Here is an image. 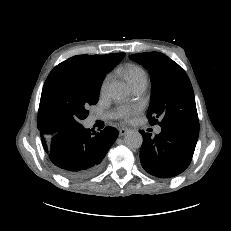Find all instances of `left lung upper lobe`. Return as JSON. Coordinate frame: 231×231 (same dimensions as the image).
<instances>
[{"label":"left lung upper lobe","instance_id":"obj_1","mask_svg":"<svg viewBox=\"0 0 231 231\" xmlns=\"http://www.w3.org/2000/svg\"><path fill=\"white\" fill-rule=\"evenodd\" d=\"M130 59L142 64L151 75L149 123L199 129L194 92L186 72L159 52L134 54Z\"/></svg>","mask_w":231,"mask_h":231}]
</instances>
